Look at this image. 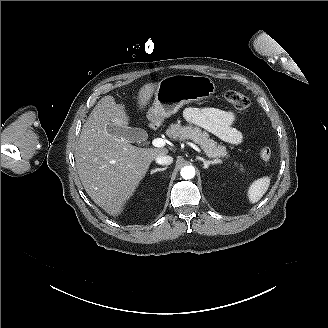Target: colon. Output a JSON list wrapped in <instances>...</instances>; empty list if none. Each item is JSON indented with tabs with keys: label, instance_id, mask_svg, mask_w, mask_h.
I'll return each instance as SVG.
<instances>
[{
	"label": "colon",
	"instance_id": "1",
	"mask_svg": "<svg viewBox=\"0 0 328 328\" xmlns=\"http://www.w3.org/2000/svg\"><path fill=\"white\" fill-rule=\"evenodd\" d=\"M225 100L238 110H246L250 107V100L238 91L228 90L225 93ZM258 154L261 160L269 161L272 157V150L268 146H262Z\"/></svg>",
	"mask_w": 328,
	"mask_h": 328
}]
</instances>
